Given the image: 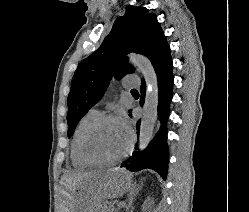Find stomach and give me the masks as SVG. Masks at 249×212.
Listing matches in <instances>:
<instances>
[{"mask_svg":"<svg viewBox=\"0 0 249 212\" xmlns=\"http://www.w3.org/2000/svg\"><path fill=\"white\" fill-rule=\"evenodd\" d=\"M129 176L123 170H99V175H90L76 192V212H98L92 204H106V199L120 198V193H129Z\"/></svg>","mask_w":249,"mask_h":212,"instance_id":"obj_1","label":"stomach"}]
</instances>
